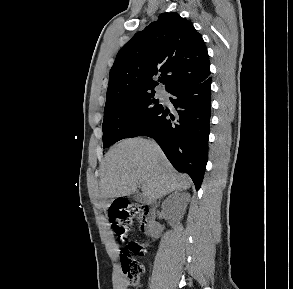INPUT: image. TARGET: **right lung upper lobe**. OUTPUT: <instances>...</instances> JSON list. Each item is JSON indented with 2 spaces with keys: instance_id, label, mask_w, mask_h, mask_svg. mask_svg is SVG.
Listing matches in <instances>:
<instances>
[{
  "instance_id": "1",
  "label": "right lung upper lobe",
  "mask_w": 293,
  "mask_h": 289,
  "mask_svg": "<svg viewBox=\"0 0 293 289\" xmlns=\"http://www.w3.org/2000/svg\"><path fill=\"white\" fill-rule=\"evenodd\" d=\"M209 75V56L201 35L178 13H163L118 52L110 71L106 104L155 92L158 81L170 93L201 83Z\"/></svg>"
}]
</instances>
